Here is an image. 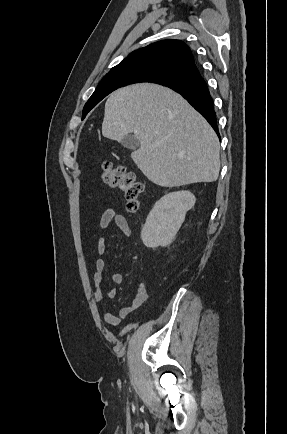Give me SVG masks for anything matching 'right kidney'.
<instances>
[{"label": "right kidney", "mask_w": 287, "mask_h": 434, "mask_svg": "<svg viewBox=\"0 0 287 434\" xmlns=\"http://www.w3.org/2000/svg\"><path fill=\"white\" fill-rule=\"evenodd\" d=\"M195 202V196L185 190L163 196L155 203L142 228L143 244L152 249L169 245Z\"/></svg>", "instance_id": "ca27d5eb"}]
</instances>
